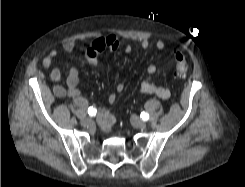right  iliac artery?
I'll list each match as a JSON object with an SVG mask.
<instances>
[{"mask_svg": "<svg viewBox=\"0 0 245 187\" xmlns=\"http://www.w3.org/2000/svg\"><path fill=\"white\" fill-rule=\"evenodd\" d=\"M96 113H97L96 108H93V107H89V108H88V114H89L90 116H95Z\"/></svg>", "mask_w": 245, "mask_h": 187, "instance_id": "82829eb1", "label": "right iliac artery"}]
</instances>
